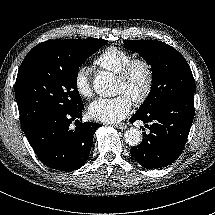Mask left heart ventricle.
<instances>
[{
	"mask_svg": "<svg viewBox=\"0 0 215 215\" xmlns=\"http://www.w3.org/2000/svg\"><path fill=\"white\" fill-rule=\"evenodd\" d=\"M145 85V72L142 67H136L126 81L116 78V94H126L131 99L139 96Z\"/></svg>",
	"mask_w": 215,
	"mask_h": 215,
	"instance_id": "b2bd125f",
	"label": "left heart ventricle"
}]
</instances>
